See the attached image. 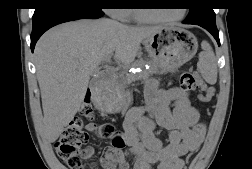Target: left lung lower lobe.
Segmentation results:
<instances>
[{
    "label": "left lung lower lobe",
    "instance_id": "1",
    "mask_svg": "<svg viewBox=\"0 0 252 169\" xmlns=\"http://www.w3.org/2000/svg\"><path fill=\"white\" fill-rule=\"evenodd\" d=\"M184 24H186V23H184ZM195 25H199V26L203 27L204 29H206L208 32H210L213 35V37L216 39L218 45L220 46L219 32L217 30L216 24L198 23Z\"/></svg>",
    "mask_w": 252,
    "mask_h": 169
}]
</instances>
